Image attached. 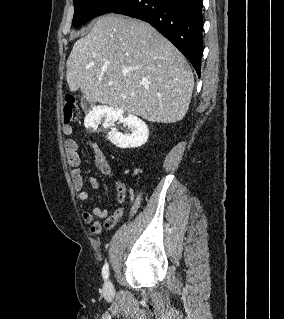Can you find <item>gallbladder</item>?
I'll return each instance as SVG.
<instances>
[{
    "instance_id": "gallbladder-1",
    "label": "gallbladder",
    "mask_w": 284,
    "mask_h": 319,
    "mask_svg": "<svg viewBox=\"0 0 284 319\" xmlns=\"http://www.w3.org/2000/svg\"><path fill=\"white\" fill-rule=\"evenodd\" d=\"M83 106L85 107V108H90L91 106H92V102H90V101H87V100H83Z\"/></svg>"
}]
</instances>
